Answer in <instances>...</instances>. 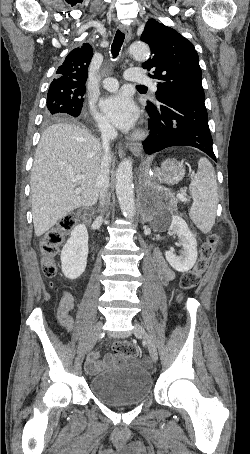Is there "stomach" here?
<instances>
[{
	"mask_svg": "<svg viewBox=\"0 0 250 454\" xmlns=\"http://www.w3.org/2000/svg\"><path fill=\"white\" fill-rule=\"evenodd\" d=\"M185 170L181 163L175 160H166L163 162L159 172V179L165 183L172 184L184 176Z\"/></svg>",
	"mask_w": 250,
	"mask_h": 454,
	"instance_id": "stomach-1",
	"label": "stomach"
}]
</instances>
